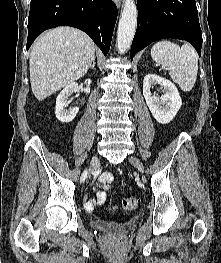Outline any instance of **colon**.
Masks as SVG:
<instances>
[{"label": "colon", "mask_w": 221, "mask_h": 263, "mask_svg": "<svg viewBox=\"0 0 221 263\" xmlns=\"http://www.w3.org/2000/svg\"><path fill=\"white\" fill-rule=\"evenodd\" d=\"M138 206H139L138 199L134 197H129L123 199L117 208L122 212H131L136 210Z\"/></svg>", "instance_id": "5ec220e1"}]
</instances>
